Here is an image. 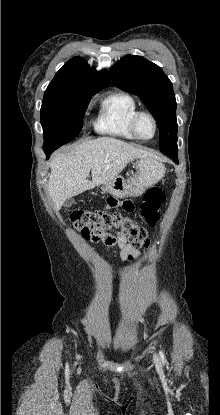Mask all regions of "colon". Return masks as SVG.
<instances>
[{"mask_svg": "<svg viewBox=\"0 0 220 415\" xmlns=\"http://www.w3.org/2000/svg\"><path fill=\"white\" fill-rule=\"evenodd\" d=\"M163 199V194L158 188H150L146 191L141 213L148 226L154 227L157 224ZM119 206L126 210L132 208L133 203L124 200L120 202ZM69 222L73 227L80 228L84 233L95 232L101 234L105 230L119 229L127 236L133 247L139 249L150 246L146 229L133 219L117 211L74 210L69 216Z\"/></svg>", "mask_w": 220, "mask_h": 415, "instance_id": "5ec220e1", "label": "colon"}]
</instances>
